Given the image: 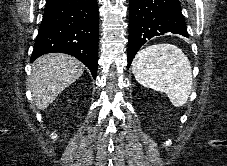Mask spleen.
I'll return each instance as SVG.
<instances>
[{
	"instance_id": "obj_1",
	"label": "spleen",
	"mask_w": 227,
	"mask_h": 166,
	"mask_svg": "<svg viewBox=\"0 0 227 166\" xmlns=\"http://www.w3.org/2000/svg\"><path fill=\"white\" fill-rule=\"evenodd\" d=\"M132 71L139 84L165 93L173 106L186 104L192 89V69L187 56L175 45L141 49L133 60Z\"/></svg>"
}]
</instances>
